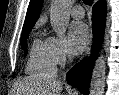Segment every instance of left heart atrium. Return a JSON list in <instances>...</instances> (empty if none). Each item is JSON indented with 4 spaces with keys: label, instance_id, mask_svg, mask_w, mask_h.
<instances>
[{
    "label": "left heart atrium",
    "instance_id": "obj_1",
    "mask_svg": "<svg viewBox=\"0 0 119 95\" xmlns=\"http://www.w3.org/2000/svg\"><path fill=\"white\" fill-rule=\"evenodd\" d=\"M88 27L82 22H73L69 28V48L73 53H81L89 43Z\"/></svg>",
    "mask_w": 119,
    "mask_h": 95
}]
</instances>
